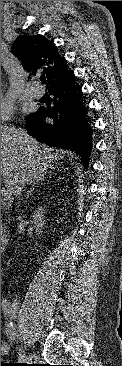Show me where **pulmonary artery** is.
Here are the masks:
<instances>
[{
  "instance_id": "pulmonary-artery-1",
  "label": "pulmonary artery",
  "mask_w": 122,
  "mask_h": 366,
  "mask_svg": "<svg viewBox=\"0 0 122 366\" xmlns=\"http://www.w3.org/2000/svg\"><path fill=\"white\" fill-rule=\"evenodd\" d=\"M27 91L36 98L43 95V89L35 82L28 84Z\"/></svg>"
}]
</instances>
